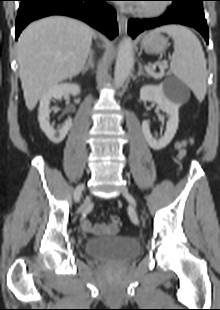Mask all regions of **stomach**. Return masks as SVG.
Instances as JSON below:
<instances>
[{
	"label": "stomach",
	"instance_id": "1",
	"mask_svg": "<svg viewBox=\"0 0 220 310\" xmlns=\"http://www.w3.org/2000/svg\"><path fill=\"white\" fill-rule=\"evenodd\" d=\"M168 46V38L158 33L146 35L141 41V48L148 54L163 53Z\"/></svg>",
	"mask_w": 220,
	"mask_h": 310
}]
</instances>
